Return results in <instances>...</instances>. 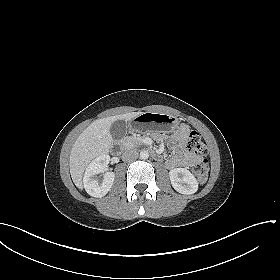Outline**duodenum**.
<instances>
[{
  "label": "duodenum",
  "instance_id": "obj_1",
  "mask_svg": "<svg viewBox=\"0 0 280 280\" xmlns=\"http://www.w3.org/2000/svg\"><path fill=\"white\" fill-rule=\"evenodd\" d=\"M115 148L119 151H123L125 149V142H120V143H117L115 145ZM147 149V147H145ZM151 156L156 159V160H161L162 159V155L160 153H157L155 151L151 152Z\"/></svg>",
  "mask_w": 280,
  "mask_h": 280
}]
</instances>
